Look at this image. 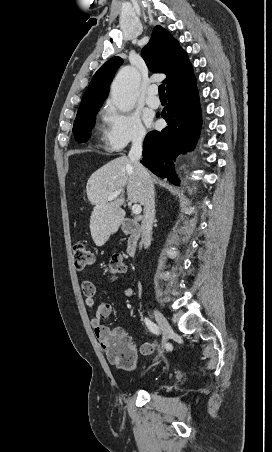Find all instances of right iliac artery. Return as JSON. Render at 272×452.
Listing matches in <instances>:
<instances>
[{"instance_id": "obj_1", "label": "right iliac artery", "mask_w": 272, "mask_h": 452, "mask_svg": "<svg viewBox=\"0 0 272 452\" xmlns=\"http://www.w3.org/2000/svg\"><path fill=\"white\" fill-rule=\"evenodd\" d=\"M144 322H145L146 326L148 327V329H149L152 333H154V334H156V335H159V334H160V329H159V327H158L154 322H152V321L149 320L148 318H145V319H144Z\"/></svg>"}]
</instances>
